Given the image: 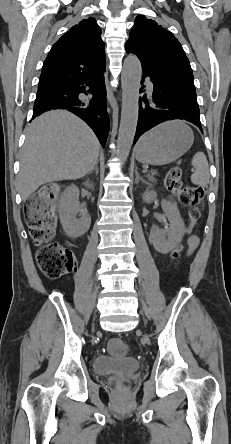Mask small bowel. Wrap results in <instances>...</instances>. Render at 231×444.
<instances>
[{
	"label": "small bowel",
	"instance_id": "1",
	"mask_svg": "<svg viewBox=\"0 0 231 444\" xmlns=\"http://www.w3.org/2000/svg\"><path fill=\"white\" fill-rule=\"evenodd\" d=\"M188 242H189V252L191 253L198 246L199 240L197 237L194 236L191 237Z\"/></svg>",
	"mask_w": 231,
	"mask_h": 444
}]
</instances>
